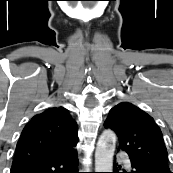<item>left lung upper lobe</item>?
I'll use <instances>...</instances> for the list:
<instances>
[{
  "label": "left lung upper lobe",
  "mask_w": 173,
  "mask_h": 173,
  "mask_svg": "<svg viewBox=\"0 0 173 173\" xmlns=\"http://www.w3.org/2000/svg\"><path fill=\"white\" fill-rule=\"evenodd\" d=\"M104 126L118 136L120 149L135 161L171 173L162 132L153 118L137 106L122 102L111 109Z\"/></svg>",
  "instance_id": "5c2ea615"
}]
</instances>
